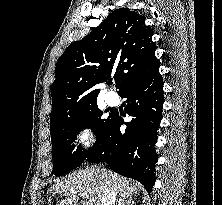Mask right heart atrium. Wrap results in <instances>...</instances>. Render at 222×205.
I'll return each mask as SVG.
<instances>
[{"instance_id":"right-heart-atrium-1","label":"right heart atrium","mask_w":222,"mask_h":205,"mask_svg":"<svg viewBox=\"0 0 222 205\" xmlns=\"http://www.w3.org/2000/svg\"><path fill=\"white\" fill-rule=\"evenodd\" d=\"M91 139V130L89 127H83L78 132V141L87 144Z\"/></svg>"}]
</instances>
